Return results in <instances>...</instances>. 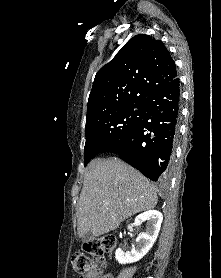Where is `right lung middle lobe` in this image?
<instances>
[{"mask_svg": "<svg viewBox=\"0 0 221 278\" xmlns=\"http://www.w3.org/2000/svg\"><path fill=\"white\" fill-rule=\"evenodd\" d=\"M145 103L136 102L118 108L107 115L86 121L84 165L107 145L132 131L145 115Z\"/></svg>", "mask_w": 221, "mask_h": 278, "instance_id": "1", "label": "right lung middle lobe"}]
</instances>
